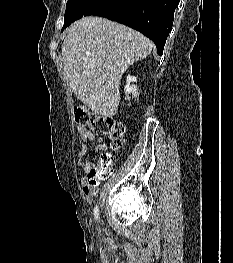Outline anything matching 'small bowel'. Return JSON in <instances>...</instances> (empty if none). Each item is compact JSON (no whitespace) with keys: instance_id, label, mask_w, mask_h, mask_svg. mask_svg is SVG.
I'll return each mask as SVG.
<instances>
[{"instance_id":"small-bowel-1","label":"small bowel","mask_w":233,"mask_h":263,"mask_svg":"<svg viewBox=\"0 0 233 263\" xmlns=\"http://www.w3.org/2000/svg\"><path fill=\"white\" fill-rule=\"evenodd\" d=\"M78 133L81 139L78 142V153L77 160L78 166L85 172V176L81 178V184L83 186V192L88 199H91L95 193L96 189H92L88 183L87 175L93 167L91 160H85L84 157L88 150V145H94V151L97 153L99 151H107L108 145L104 143V139L100 136H96L90 130H87L83 127L78 128ZM98 183V182H97Z\"/></svg>"}]
</instances>
